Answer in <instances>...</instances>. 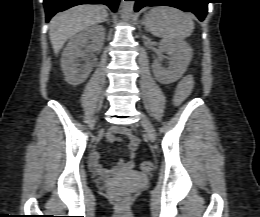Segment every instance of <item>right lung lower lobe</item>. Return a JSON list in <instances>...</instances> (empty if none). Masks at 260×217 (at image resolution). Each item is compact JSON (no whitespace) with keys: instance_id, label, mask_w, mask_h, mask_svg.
Returning <instances> with one entry per match:
<instances>
[{"instance_id":"98d812e1","label":"right lung lower lobe","mask_w":260,"mask_h":217,"mask_svg":"<svg viewBox=\"0 0 260 217\" xmlns=\"http://www.w3.org/2000/svg\"><path fill=\"white\" fill-rule=\"evenodd\" d=\"M80 4H105L116 11L119 0H44L46 22L57 12L64 11L70 7Z\"/></svg>"}]
</instances>
